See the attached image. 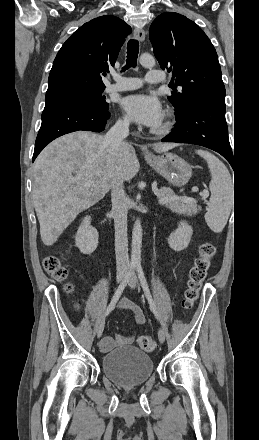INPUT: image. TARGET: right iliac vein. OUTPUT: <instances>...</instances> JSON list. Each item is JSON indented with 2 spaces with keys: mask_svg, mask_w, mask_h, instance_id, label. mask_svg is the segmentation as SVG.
Returning <instances> with one entry per match:
<instances>
[{
  "mask_svg": "<svg viewBox=\"0 0 259 440\" xmlns=\"http://www.w3.org/2000/svg\"><path fill=\"white\" fill-rule=\"evenodd\" d=\"M125 275V270L121 269L118 271L117 273V283H120L123 280V277ZM104 325H105V319L103 318L101 320V322L99 323V326L97 328V337H101L103 330H104Z\"/></svg>",
  "mask_w": 259,
  "mask_h": 440,
  "instance_id": "right-iliac-vein-1",
  "label": "right iliac vein"
}]
</instances>
